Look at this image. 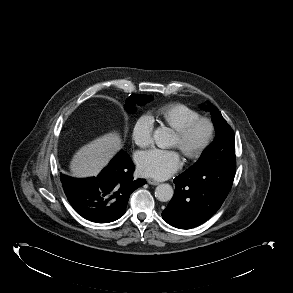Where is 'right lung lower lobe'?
<instances>
[{"label": "right lung lower lobe", "instance_id": "98d812e1", "mask_svg": "<svg viewBox=\"0 0 293 293\" xmlns=\"http://www.w3.org/2000/svg\"><path fill=\"white\" fill-rule=\"evenodd\" d=\"M134 169L130 156L121 151L97 177H60L67 199L78 214L96 223H108L124 215L130 193L146 183L133 179Z\"/></svg>", "mask_w": 293, "mask_h": 293}]
</instances>
